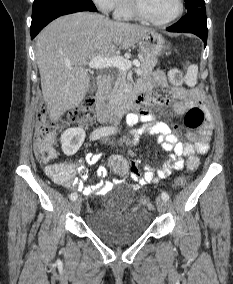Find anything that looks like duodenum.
<instances>
[{
	"instance_id": "obj_1",
	"label": "duodenum",
	"mask_w": 233,
	"mask_h": 284,
	"mask_svg": "<svg viewBox=\"0 0 233 284\" xmlns=\"http://www.w3.org/2000/svg\"><path fill=\"white\" fill-rule=\"evenodd\" d=\"M97 92H96V112L95 117L98 121L110 125H117L123 115L129 110L135 108L141 98L142 90L137 89L129 99L119 105H112L106 99V90L109 84V78L105 74L97 76Z\"/></svg>"
}]
</instances>
